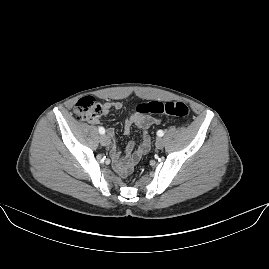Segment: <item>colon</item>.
Segmentation results:
<instances>
[{
    "instance_id": "5ec220e1",
    "label": "colon",
    "mask_w": 269,
    "mask_h": 269,
    "mask_svg": "<svg viewBox=\"0 0 269 269\" xmlns=\"http://www.w3.org/2000/svg\"><path fill=\"white\" fill-rule=\"evenodd\" d=\"M136 109L139 113H151L177 118H184L189 113L187 105L178 101H152L150 103L138 104ZM102 113L103 109L101 105L90 96L80 98L74 109V114L80 120L96 119ZM124 170L128 172L130 168L127 166Z\"/></svg>"
}]
</instances>
